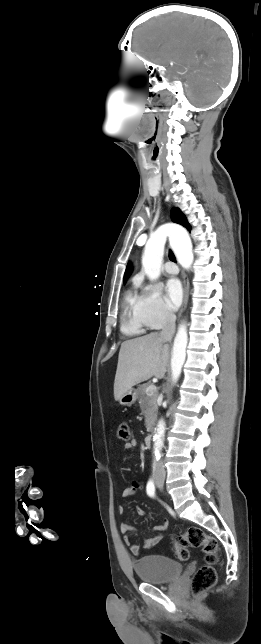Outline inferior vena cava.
<instances>
[{
    "mask_svg": "<svg viewBox=\"0 0 261 644\" xmlns=\"http://www.w3.org/2000/svg\"><path fill=\"white\" fill-rule=\"evenodd\" d=\"M164 317V325L160 335L164 339L170 340L171 335L175 329L176 316L173 313L165 312ZM155 474H165V469L162 461H158L156 463Z\"/></svg>",
    "mask_w": 261,
    "mask_h": 644,
    "instance_id": "602c4592",
    "label": "inferior vena cava"
}]
</instances>
